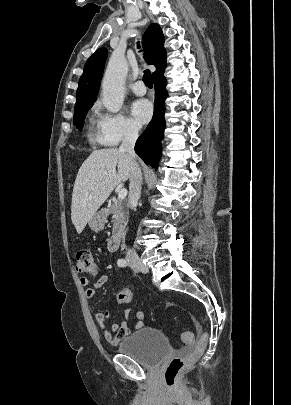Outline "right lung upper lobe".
Masks as SVG:
<instances>
[{"label": "right lung upper lobe", "mask_w": 291, "mask_h": 405, "mask_svg": "<svg viewBox=\"0 0 291 405\" xmlns=\"http://www.w3.org/2000/svg\"><path fill=\"white\" fill-rule=\"evenodd\" d=\"M164 40L162 30L156 23L150 24L142 37L145 60L148 64L155 65L156 67V71L152 74L153 79L162 75L166 68V51L163 47ZM107 55V49L100 48L87 60L84 72L79 80L74 112L91 108L95 102Z\"/></svg>", "instance_id": "right-lung-upper-lobe-1"}]
</instances>
